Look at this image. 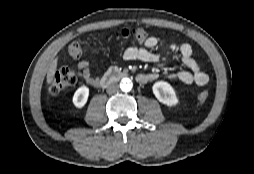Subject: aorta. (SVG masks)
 Masks as SVG:
<instances>
[{
	"label": "aorta",
	"instance_id": "obj_1",
	"mask_svg": "<svg viewBox=\"0 0 254 174\" xmlns=\"http://www.w3.org/2000/svg\"><path fill=\"white\" fill-rule=\"evenodd\" d=\"M133 87L132 81L129 78H123L120 82V88L124 92H129Z\"/></svg>",
	"mask_w": 254,
	"mask_h": 174
}]
</instances>
